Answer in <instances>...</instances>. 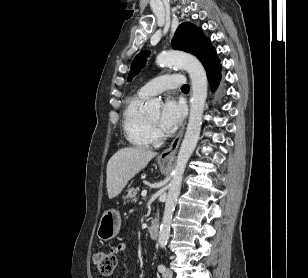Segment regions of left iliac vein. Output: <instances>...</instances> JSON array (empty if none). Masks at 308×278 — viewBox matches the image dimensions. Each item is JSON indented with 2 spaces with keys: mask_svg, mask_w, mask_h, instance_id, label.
<instances>
[{
  "mask_svg": "<svg viewBox=\"0 0 308 278\" xmlns=\"http://www.w3.org/2000/svg\"><path fill=\"white\" fill-rule=\"evenodd\" d=\"M172 277H173V273L171 269L169 268L165 269V271L163 272V278H172Z\"/></svg>",
  "mask_w": 308,
  "mask_h": 278,
  "instance_id": "1",
  "label": "left iliac vein"
}]
</instances>
